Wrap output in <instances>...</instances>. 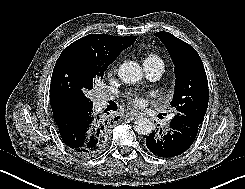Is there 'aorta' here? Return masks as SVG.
<instances>
[{"instance_id":"obj_1","label":"aorta","mask_w":245,"mask_h":189,"mask_svg":"<svg viewBox=\"0 0 245 189\" xmlns=\"http://www.w3.org/2000/svg\"><path fill=\"white\" fill-rule=\"evenodd\" d=\"M118 75L123 82L134 84L142 79L143 73L138 63L128 61L120 65ZM134 129L140 135H148L153 130V123L147 118H139L134 122Z\"/></svg>"}]
</instances>
